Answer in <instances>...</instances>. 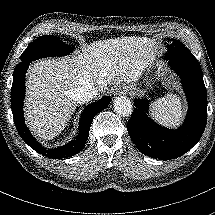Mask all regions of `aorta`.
Here are the masks:
<instances>
[{
	"instance_id": "1",
	"label": "aorta",
	"mask_w": 215,
	"mask_h": 215,
	"mask_svg": "<svg viewBox=\"0 0 215 215\" xmlns=\"http://www.w3.org/2000/svg\"><path fill=\"white\" fill-rule=\"evenodd\" d=\"M113 107H114V111L117 114L124 117L130 116L133 111V105L131 101L124 96L117 97L114 100Z\"/></svg>"
}]
</instances>
